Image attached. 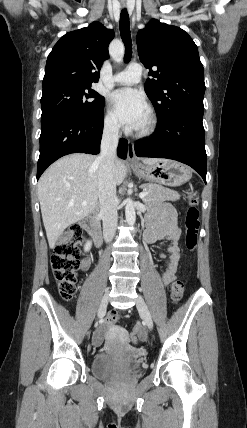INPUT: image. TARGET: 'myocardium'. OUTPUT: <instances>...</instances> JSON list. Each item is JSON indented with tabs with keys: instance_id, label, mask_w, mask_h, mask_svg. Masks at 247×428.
<instances>
[{
	"instance_id": "myocardium-1",
	"label": "myocardium",
	"mask_w": 247,
	"mask_h": 428,
	"mask_svg": "<svg viewBox=\"0 0 247 428\" xmlns=\"http://www.w3.org/2000/svg\"><path fill=\"white\" fill-rule=\"evenodd\" d=\"M157 128V117L152 110H149L147 116V124L142 129H137L135 132V136L138 138H146L151 136Z\"/></svg>"
}]
</instances>
